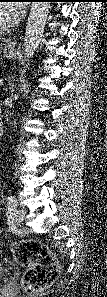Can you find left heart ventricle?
Masks as SVG:
<instances>
[{"mask_svg": "<svg viewBox=\"0 0 107 297\" xmlns=\"http://www.w3.org/2000/svg\"><path fill=\"white\" fill-rule=\"evenodd\" d=\"M0 11V24H9L11 22V19L7 11V6L0 5Z\"/></svg>", "mask_w": 107, "mask_h": 297, "instance_id": "b2bd125f", "label": "left heart ventricle"}]
</instances>
